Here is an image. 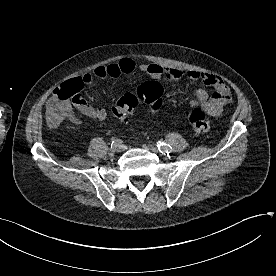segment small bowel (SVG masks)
Masks as SVG:
<instances>
[{
	"label": "small bowel",
	"instance_id": "1",
	"mask_svg": "<svg viewBox=\"0 0 276 276\" xmlns=\"http://www.w3.org/2000/svg\"><path fill=\"white\" fill-rule=\"evenodd\" d=\"M136 69L147 74L153 79H164L175 81L187 77L192 81H201L204 85L213 89L211 97L204 89H196L195 98L191 101L190 107H201L211 116H218L223 112L227 103L231 101V92L225 82L217 75L199 71L185 72L176 68L164 67L154 63H143L137 65L132 58H122L117 63L97 66L92 72L85 73L78 79L83 85L91 84L95 79L106 80L108 78H118L121 75L133 73ZM50 106V99L47 108ZM81 114L91 120L103 121L107 117V111L103 107L90 105L82 96L73 104ZM68 119L74 124H81V120L72 112L67 113Z\"/></svg>",
	"mask_w": 276,
	"mask_h": 276
}]
</instances>
